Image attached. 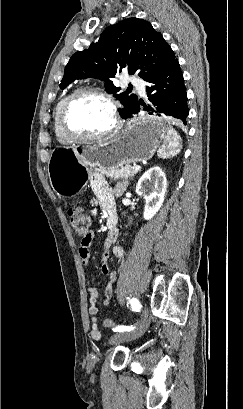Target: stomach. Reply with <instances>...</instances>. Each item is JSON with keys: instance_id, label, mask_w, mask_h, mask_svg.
<instances>
[{"instance_id": "obj_1", "label": "stomach", "mask_w": 243, "mask_h": 409, "mask_svg": "<svg viewBox=\"0 0 243 409\" xmlns=\"http://www.w3.org/2000/svg\"><path fill=\"white\" fill-rule=\"evenodd\" d=\"M165 134L166 126L161 121L141 117L98 145L58 147L48 161L51 187L59 196L78 194L94 169H115L150 159Z\"/></svg>"}]
</instances>
